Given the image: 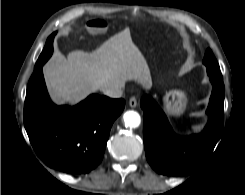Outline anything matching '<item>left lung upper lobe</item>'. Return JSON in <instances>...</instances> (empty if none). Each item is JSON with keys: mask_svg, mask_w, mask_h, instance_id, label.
I'll list each match as a JSON object with an SVG mask.
<instances>
[{"mask_svg": "<svg viewBox=\"0 0 245 195\" xmlns=\"http://www.w3.org/2000/svg\"><path fill=\"white\" fill-rule=\"evenodd\" d=\"M203 64H205L209 76L222 79V74L219 65L210 49H207L206 51Z\"/></svg>", "mask_w": 245, "mask_h": 195, "instance_id": "1", "label": "left lung upper lobe"}]
</instances>
